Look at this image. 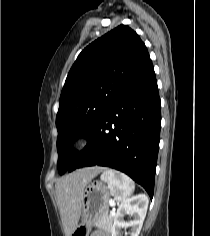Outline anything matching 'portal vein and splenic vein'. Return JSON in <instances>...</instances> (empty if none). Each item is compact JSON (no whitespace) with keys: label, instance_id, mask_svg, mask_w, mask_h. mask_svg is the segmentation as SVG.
<instances>
[{"label":"portal vein and splenic vein","instance_id":"1","mask_svg":"<svg viewBox=\"0 0 210 236\" xmlns=\"http://www.w3.org/2000/svg\"><path fill=\"white\" fill-rule=\"evenodd\" d=\"M113 204V203H112ZM115 214V209L113 208L112 211L110 212V215H114Z\"/></svg>","mask_w":210,"mask_h":236}]
</instances>
